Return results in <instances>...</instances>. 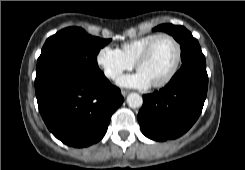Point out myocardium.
<instances>
[{
	"label": "myocardium",
	"instance_id": "obj_1",
	"mask_svg": "<svg viewBox=\"0 0 245 170\" xmlns=\"http://www.w3.org/2000/svg\"><path fill=\"white\" fill-rule=\"evenodd\" d=\"M162 38H168L173 42L176 48V58L173 67L171 68L169 73L162 80L155 83H151V86L155 88H159L167 85L177 74L182 60V47L179 41L171 34H167V33L159 34L147 44V46L140 52V54L137 56L135 60V67L138 70L140 64L150 56L153 47Z\"/></svg>",
	"mask_w": 245,
	"mask_h": 170
}]
</instances>
